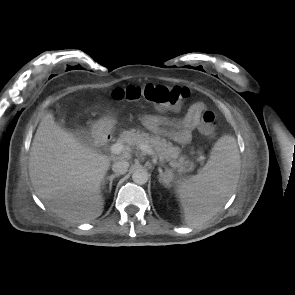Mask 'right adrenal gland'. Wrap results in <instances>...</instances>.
I'll return each instance as SVG.
<instances>
[{"mask_svg":"<svg viewBox=\"0 0 295 295\" xmlns=\"http://www.w3.org/2000/svg\"><path fill=\"white\" fill-rule=\"evenodd\" d=\"M120 175L119 174H114V175H111V176H108L105 178V181L103 182V186L102 188L104 189L105 188V184H106V180L109 181V190L108 192L110 193L111 190H112V182L113 180L116 178V177H119Z\"/></svg>","mask_w":295,"mask_h":295,"instance_id":"2a0ac1e0","label":"right adrenal gland"}]
</instances>
